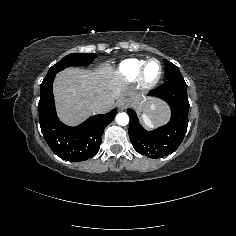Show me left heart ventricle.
<instances>
[{
  "instance_id": "b2bd125f",
  "label": "left heart ventricle",
  "mask_w": 236,
  "mask_h": 236,
  "mask_svg": "<svg viewBox=\"0 0 236 236\" xmlns=\"http://www.w3.org/2000/svg\"><path fill=\"white\" fill-rule=\"evenodd\" d=\"M161 73V66L157 61L151 62L146 70V80L147 81H154L158 78Z\"/></svg>"
}]
</instances>
